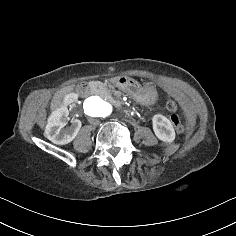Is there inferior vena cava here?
Here are the masks:
<instances>
[{
	"instance_id": "1",
	"label": "inferior vena cava",
	"mask_w": 236,
	"mask_h": 236,
	"mask_svg": "<svg viewBox=\"0 0 236 236\" xmlns=\"http://www.w3.org/2000/svg\"><path fill=\"white\" fill-rule=\"evenodd\" d=\"M89 124H92L93 126L100 125V120L93 119L92 117L88 120Z\"/></svg>"
}]
</instances>
